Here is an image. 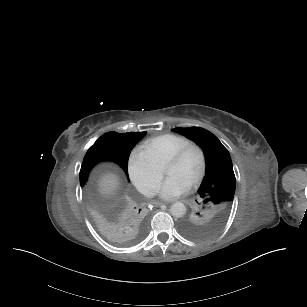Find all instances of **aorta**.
I'll use <instances>...</instances> for the list:
<instances>
[{"mask_svg":"<svg viewBox=\"0 0 307 307\" xmlns=\"http://www.w3.org/2000/svg\"><path fill=\"white\" fill-rule=\"evenodd\" d=\"M170 212L174 217L181 218L186 213V207L181 202H176L171 205Z\"/></svg>","mask_w":307,"mask_h":307,"instance_id":"aorta-1","label":"aorta"}]
</instances>
